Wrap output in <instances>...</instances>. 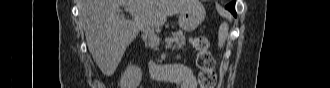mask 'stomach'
Returning a JSON list of instances; mask_svg holds the SVG:
<instances>
[{
  "instance_id": "1",
  "label": "stomach",
  "mask_w": 330,
  "mask_h": 88,
  "mask_svg": "<svg viewBox=\"0 0 330 88\" xmlns=\"http://www.w3.org/2000/svg\"><path fill=\"white\" fill-rule=\"evenodd\" d=\"M206 11L199 0H192L191 5L179 14L178 23L182 30L193 31L205 19Z\"/></svg>"
}]
</instances>
